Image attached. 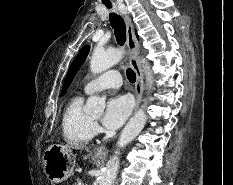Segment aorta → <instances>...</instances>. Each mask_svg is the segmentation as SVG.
<instances>
[{"label": "aorta", "instance_id": "1", "mask_svg": "<svg viewBox=\"0 0 233 185\" xmlns=\"http://www.w3.org/2000/svg\"><path fill=\"white\" fill-rule=\"evenodd\" d=\"M124 55L123 49H109L107 51L95 50L90 61V69L92 73L99 74L116 63H118ZM144 71L146 74V82L151 88L153 79L150 72V67L142 60ZM105 100L96 96H91L86 101L84 112L89 115H101L105 109ZM142 106L135 115L129 120L124 127L120 138L117 143V149L114 155L109 159L106 164L105 170L101 175L99 185H113L117 177L119 168V154L121 148L129 144L144 128L147 116Z\"/></svg>", "mask_w": 233, "mask_h": 185}]
</instances>
